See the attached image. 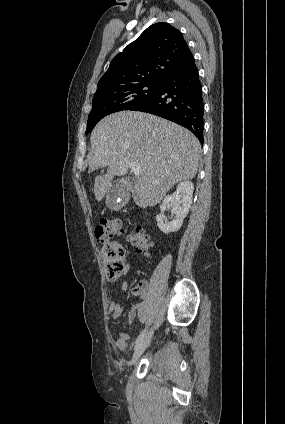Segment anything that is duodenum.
<instances>
[{"mask_svg":"<svg viewBox=\"0 0 285 424\" xmlns=\"http://www.w3.org/2000/svg\"><path fill=\"white\" fill-rule=\"evenodd\" d=\"M125 185H126L127 187H129V189H131V188H132V186H133V182H132L131 180H125Z\"/></svg>","mask_w":285,"mask_h":424,"instance_id":"410a0bca","label":"duodenum"}]
</instances>
